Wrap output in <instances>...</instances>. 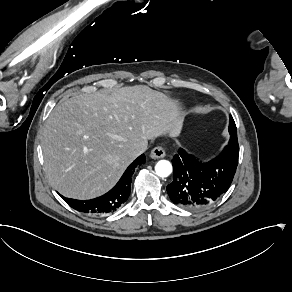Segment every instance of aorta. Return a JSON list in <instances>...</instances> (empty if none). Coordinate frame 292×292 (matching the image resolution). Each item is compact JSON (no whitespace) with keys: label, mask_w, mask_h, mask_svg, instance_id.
Segmentation results:
<instances>
[{"label":"aorta","mask_w":292,"mask_h":292,"mask_svg":"<svg viewBox=\"0 0 292 292\" xmlns=\"http://www.w3.org/2000/svg\"><path fill=\"white\" fill-rule=\"evenodd\" d=\"M155 171L159 177H168L172 173V165L166 160H161L156 164Z\"/></svg>","instance_id":"obj_1"}]
</instances>
